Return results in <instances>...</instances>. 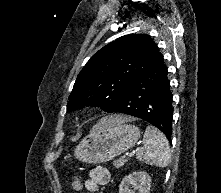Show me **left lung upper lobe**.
Instances as JSON below:
<instances>
[{
	"label": "left lung upper lobe",
	"mask_w": 221,
	"mask_h": 193,
	"mask_svg": "<svg viewBox=\"0 0 221 193\" xmlns=\"http://www.w3.org/2000/svg\"><path fill=\"white\" fill-rule=\"evenodd\" d=\"M163 55L146 34H130L107 44L79 73L67 110L100 106L108 111L122 99L132 82Z\"/></svg>",
	"instance_id": "5c2ea615"
}]
</instances>
